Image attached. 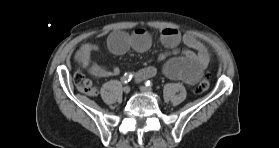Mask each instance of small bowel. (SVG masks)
Listing matches in <instances>:
<instances>
[{
    "instance_id": "1",
    "label": "small bowel",
    "mask_w": 279,
    "mask_h": 148,
    "mask_svg": "<svg viewBox=\"0 0 279 148\" xmlns=\"http://www.w3.org/2000/svg\"><path fill=\"white\" fill-rule=\"evenodd\" d=\"M161 42L168 50L159 55L158 62L162 63L163 73L171 79L194 84L212 61L210 50L190 33L182 34L175 28H165L161 32ZM107 43L110 51L117 55L129 49L142 53L150 48L151 36L144 29L131 33L114 31L108 36ZM181 43L186 46L185 49L179 48ZM96 50L97 46L93 43L81 46L76 56L80 66L95 78L117 75L119 69L116 66L105 67L91 62V55ZM156 73L157 67L149 65L137 71L135 79L142 81L154 77Z\"/></svg>"
}]
</instances>
